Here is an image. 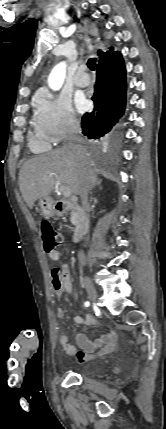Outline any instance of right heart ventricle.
<instances>
[{"instance_id": "right-heart-ventricle-1", "label": "right heart ventricle", "mask_w": 166, "mask_h": 429, "mask_svg": "<svg viewBox=\"0 0 166 429\" xmlns=\"http://www.w3.org/2000/svg\"><path fill=\"white\" fill-rule=\"evenodd\" d=\"M29 144L34 152H43L51 148L50 141L37 129L30 135Z\"/></svg>"}]
</instances>
